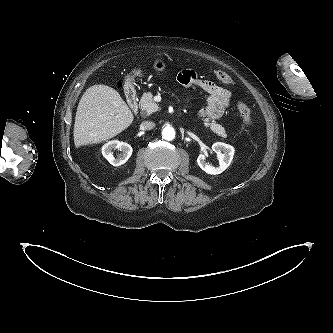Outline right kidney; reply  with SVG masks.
Wrapping results in <instances>:
<instances>
[{
    "label": "right kidney",
    "mask_w": 333,
    "mask_h": 333,
    "mask_svg": "<svg viewBox=\"0 0 333 333\" xmlns=\"http://www.w3.org/2000/svg\"><path fill=\"white\" fill-rule=\"evenodd\" d=\"M115 149L122 151V153L116 158L113 155V150ZM132 152L133 149L128 143L120 142L118 140L109 141L102 147V155L113 166H120L124 164L130 158Z\"/></svg>",
    "instance_id": "right-kidney-1"
}]
</instances>
